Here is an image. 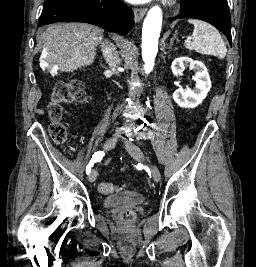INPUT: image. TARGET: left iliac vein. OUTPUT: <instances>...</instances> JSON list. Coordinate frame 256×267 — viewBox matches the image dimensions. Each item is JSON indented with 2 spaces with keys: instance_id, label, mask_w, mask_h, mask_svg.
<instances>
[{
  "instance_id": "1",
  "label": "left iliac vein",
  "mask_w": 256,
  "mask_h": 267,
  "mask_svg": "<svg viewBox=\"0 0 256 267\" xmlns=\"http://www.w3.org/2000/svg\"><path fill=\"white\" fill-rule=\"evenodd\" d=\"M125 149L126 151L137 161H146L144 154L142 153V151L139 149V147H137L134 144H130V143H124ZM152 168V176L155 182H159L161 179V175L160 172L158 170V168L154 165H151Z\"/></svg>"
}]
</instances>
